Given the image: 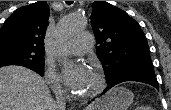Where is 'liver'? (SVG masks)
<instances>
[{"label":"liver","instance_id":"liver-1","mask_svg":"<svg viewBox=\"0 0 171 110\" xmlns=\"http://www.w3.org/2000/svg\"><path fill=\"white\" fill-rule=\"evenodd\" d=\"M100 104L89 107L96 110ZM0 110H58L44 79L22 66L0 68Z\"/></svg>","mask_w":171,"mask_h":110}]
</instances>
